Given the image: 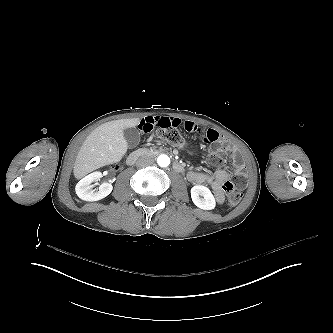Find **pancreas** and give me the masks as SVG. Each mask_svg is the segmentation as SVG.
I'll list each match as a JSON object with an SVG mask.
<instances>
[{
  "instance_id": "obj_1",
  "label": "pancreas",
  "mask_w": 333,
  "mask_h": 333,
  "mask_svg": "<svg viewBox=\"0 0 333 333\" xmlns=\"http://www.w3.org/2000/svg\"><path fill=\"white\" fill-rule=\"evenodd\" d=\"M162 148H159V150H156L154 148H151L149 151H148V154H151V155H155V154H159L162 152Z\"/></svg>"
}]
</instances>
